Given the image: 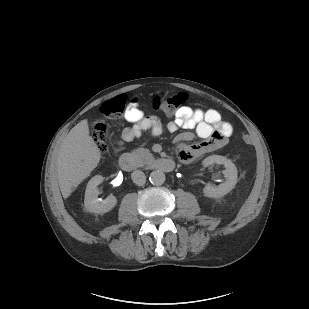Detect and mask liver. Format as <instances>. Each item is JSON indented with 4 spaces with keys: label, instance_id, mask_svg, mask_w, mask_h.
<instances>
[{
    "label": "liver",
    "instance_id": "liver-1",
    "mask_svg": "<svg viewBox=\"0 0 309 309\" xmlns=\"http://www.w3.org/2000/svg\"><path fill=\"white\" fill-rule=\"evenodd\" d=\"M100 159V149L89 135L88 122L84 119L70 130L58 150L56 164L63 198H68L90 176Z\"/></svg>",
    "mask_w": 309,
    "mask_h": 309
}]
</instances>
